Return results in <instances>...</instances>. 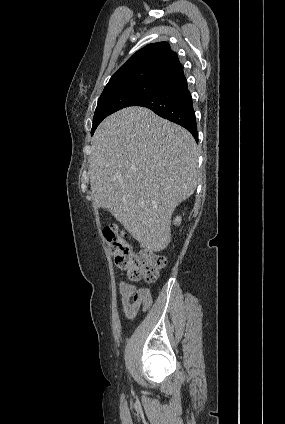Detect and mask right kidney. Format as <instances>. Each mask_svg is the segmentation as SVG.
<instances>
[{
  "instance_id": "ca27d5eb",
  "label": "right kidney",
  "mask_w": 285,
  "mask_h": 424,
  "mask_svg": "<svg viewBox=\"0 0 285 424\" xmlns=\"http://www.w3.org/2000/svg\"><path fill=\"white\" fill-rule=\"evenodd\" d=\"M174 224H175V225H180V224H181V217H180V216H177V217L174 219Z\"/></svg>"
}]
</instances>
